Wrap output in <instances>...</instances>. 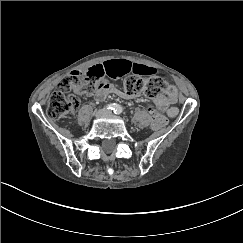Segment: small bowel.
Segmentation results:
<instances>
[{
	"label": "small bowel",
	"instance_id": "obj_1",
	"mask_svg": "<svg viewBox=\"0 0 243 243\" xmlns=\"http://www.w3.org/2000/svg\"><path fill=\"white\" fill-rule=\"evenodd\" d=\"M155 69L143 64L132 63L128 60H113L107 61L103 64H98L91 67L87 73L100 76H110L112 78H119L129 73H134L137 75L151 76L155 74ZM110 93H115L120 96H125V94L110 86L106 85L99 88L95 92V99L98 101H103ZM176 98L174 97H161L155 100L156 106L167 113L170 117H175L178 114V108L173 106Z\"/></svg>",
	"mask_w": 243,
	"mask_h": 243
}]
</instances>
